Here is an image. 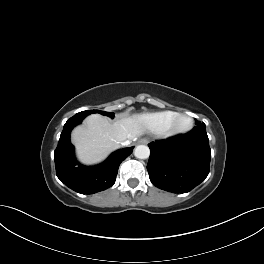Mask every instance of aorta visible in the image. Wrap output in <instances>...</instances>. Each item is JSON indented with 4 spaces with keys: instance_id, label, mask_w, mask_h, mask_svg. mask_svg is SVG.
Wrapping results in <instances>:
<instances>
[{
    "instance_id": "aorta-1",
    "label": "aorta",
    "mask_w": 264,
    "mask_h": 264,
    "mask_svg": "<svg viewBox=\"0 0 264 264\" xmlns=\"http://www.w3.org/2000/svg\"><path fill=\"white\" fill-rule=\"evenodd\" d=\"M134 156L138 159H147L150 156V149L146 145H138L134 149Z\"/></svg>"
}]
</instances>
